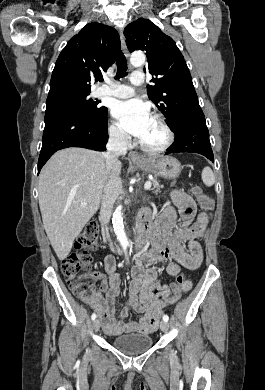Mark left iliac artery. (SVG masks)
Here are the masks:
<instances>
[{
  "mask_svg": "<svg viewBox=\"0 0 265 390\" xmlns=\"http://www.w3.org/2000/svg\"><path fill=\"white\" fill-rule=\"evenodd\" d=\"M163 320H164L165 322H168V320H169L168 315H164V316H163Z\"/></svg>",
  "mask_w": 265,
  "mask_h": 390,
  "instance_id": "1",
  "label": "left iliac artery"
}]
</instances>
